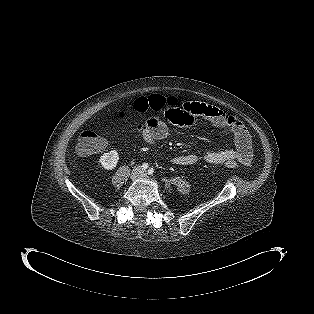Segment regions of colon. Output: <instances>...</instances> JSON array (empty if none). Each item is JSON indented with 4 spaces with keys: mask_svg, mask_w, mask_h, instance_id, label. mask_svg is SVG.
<instances>
[{
    "mask_svg": "<svg viewBox=\"0 0 314 314\" xmlns=\"http://www.w3.org/2000/svg\"><path fill=\"white\" fill-rule=\"evenodd\" d=\"M170 104L180 103L174 97H164L159 94H153L148 97L136 99L133 103V109L139 114L146 116L148 122L158 119L159 115H163L164 109ZM103 144V139L94 130L84 129L78 137L76 151L80 155L93 154L100 151ZM224 164L230 169L238 167V162L235 159H226Z\"/></svg>",
    "mask_w": 314,
    "mask_h": 314,
    "instance_id": "colon-1",
    "label": "colon"
}]
</instances>
